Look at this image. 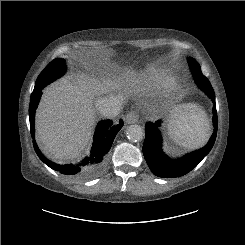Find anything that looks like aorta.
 <instances>
[{"instance_id": "762f6f07", "label": "aorta", "mask_w": 245, "mask_h": 245, "mask_svg": "<svg viewBox=\"0 0 245 245\" xmlns=\"http://www.w3.org/2000/svg\"><path fill=\"white\" fill-rule=\"evenodd\" d=\"M128 139L132 142H139L144 137V130L140 125H130L126 130Z\"/></svg>"}]
</instances>
